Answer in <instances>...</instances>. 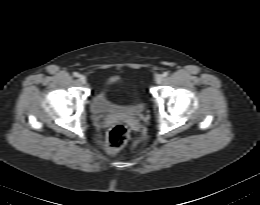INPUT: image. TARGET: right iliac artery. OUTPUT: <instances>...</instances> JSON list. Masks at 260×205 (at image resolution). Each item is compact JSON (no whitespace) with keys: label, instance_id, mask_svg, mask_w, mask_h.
I'll return each instance as SVG.
<instances>
[{"label":"right iliac artery","instance_id":"right-iliac-artery-1","mask_svg":"<svg viewBox=\"0 0 260 205\" xmlns=\"http://www.w3.org/2000/svg\"><path fill=\"white\" fill-rule=\"evenodd\" d=\"M73 75H74L75 77H79V73H78V72H74Z\"/></svg>","mask_w":260,"mask_h":205}]
</instances>
